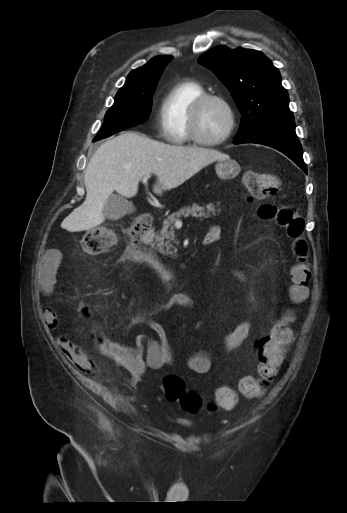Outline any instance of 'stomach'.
Masks as SVG:
<instances>
[{
  "instance_id": "1",
  "label": "stomach",
  "mask_w": 347,
  "mask_h": 513,
  "mask_svg": "<svg viewBox=\"0 0 347 513\" xmlns=\"http://www.w3.org/2000/svg\"><path fill=\"white\" fill-rule=\"evenodd\" d=\"M240 170V165L236 160L231 158L218 160L215 165L217 176L223 180H230L235 178L239 174Z\"/></svg>"
}]
</instances>
